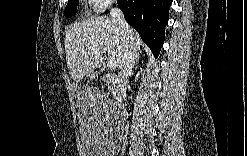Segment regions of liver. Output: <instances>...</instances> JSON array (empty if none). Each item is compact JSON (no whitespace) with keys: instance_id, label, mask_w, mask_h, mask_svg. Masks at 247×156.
Here are the masks:
<instances>
[{"instance_id":"6515ba94","label":"liver","mask_w":247,"mask_h":156,"mask_svg":"<svg viewBox=\"0 0 247 156\" xmlns=\"http://www.w3.org/2000/svg\"><path fill=\"white\" fill-rule=\"evenodd\" d=\"M131 41L137 50L142 41L130 28ZM65 53L68 70L74 82L90 75L105 60L119 67L125 51V37L111 17L98 16L76 22L65 32Z\"/></svg>"}]
</instances>
